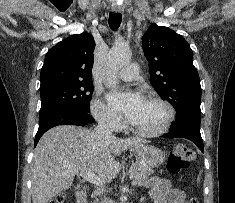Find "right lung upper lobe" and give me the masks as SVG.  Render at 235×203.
I'll return each instance as SVG.
<instances>
[{
  "instance_id": "cb5924a9",
  "label": "right lung upper lobe",
  "mask_w": 235,
  "mask_h": 203,
  "mask_svg": "<svg viewBox=\"0 0 235 203\" xmlns=\"http://www.w3.org/2000/svg\"><path fill=\"white\" fill-rule=\"evenodd\" d=\"M94 48V38L87 33L75 34L57 43L45 56L41 85L56 81H92Z\"/></svg>"
}]
</instances>
